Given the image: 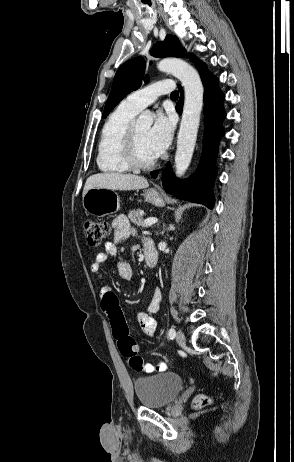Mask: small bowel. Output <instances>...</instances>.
<instances>
[{
	"mask_svg": "<svg viewBox=\"0 0 294 462\" xmlns=\"http://www.w3.org/2000/svg\"><path fill=\"white\" fill-rule=\"evenodd\" d=\"M114 230V240L105 244V250L100 252L95 257L93 263L91 264V272L97 277L102 278L101 267L102 265L110 258H117L119 254V244L126 240L132 234V228L128 219L119 215L115 218L112 223ZM148 241V240H147ZM117 271L121 279L129 281L133 277L132 266L124 260H118L117 262ZM112 292L111 288L108 285H104L100 289V295L103 297L107 293ZM162 294L159 289H157L152 297L150 298L148 304L144 310H141L137 314V319L139 321L142 331L149 337L154 336L157 329V321L154 319L152 314L156 313L161 304ZM167 369V362L164 359L158 360L155 363L143 361L142 368L136 371H145L147 373L152 372H163Z\"/></svg>",
	"mask_w": 294,
	"mask_h": 462,
	"instance_id": "c3829d8e",
	"label": "small bowel"
}]
</instances>
